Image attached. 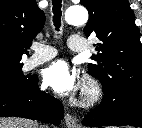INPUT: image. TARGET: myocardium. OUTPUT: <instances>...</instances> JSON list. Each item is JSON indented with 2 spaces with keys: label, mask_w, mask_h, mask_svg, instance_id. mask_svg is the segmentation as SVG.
Returning <instances> with one entry per match:
<instances>
[{
  "label": "myocardium",
  "mask_w": 142,
  "mask_h": 128,
  "mask_svg": "<svg viewBox=\"0 0 142 128\" xmlns=\"http://www.w3.org/2000/svg\"><path fill=\"white\" fill-rule=\"evenodd\" d=\"M102 96L99 82L93 77L87 76L83 80L76 103L83 107H89L97 103Z\"/></svg>",
  "instance_id": "myocardium-1"
}]
</instances>
